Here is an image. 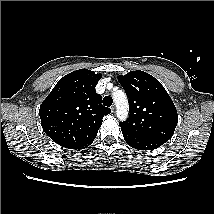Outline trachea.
Wrapping results in <instances>:
<instances>
[{
  "instance_id": "trachea-1",
  "label": "trachea",
  "mask_w": 214,
  "mask_h": 214,
  "mask_svg": "<svg viewBox=\"0 0 214 214\" xmlns=\"http://www.w3.org/2000/svg\"><path fill=\"white\" fill-rule=\"evenodd\" d=\"M113 103V100L110 96H106L103 98V104L107 107L111 106Z\"/></svg>"
}]
</instances>
